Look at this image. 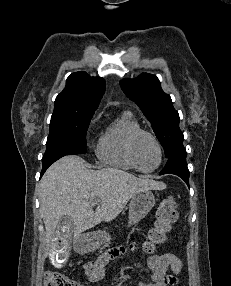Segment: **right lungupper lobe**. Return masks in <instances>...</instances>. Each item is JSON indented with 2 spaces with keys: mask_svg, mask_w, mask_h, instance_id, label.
I'll return each instance as SVG.
<instances>
[{
  "mask_svg": "<svg viewBox=\"0 0 231 286\" xmlns=\"http://www.w3.org/2000/svg\"><path fill=\"white\" fill-rule=\"evenodd\" d=\"M105 91L103 78L86 72L71 74L65 89L55 99V112H94Z\"/></svg>",
  "mask_w": 231,
  "mask_h": 286,
  "instance_id": "1",
  "label": "right lung upper lobe"
}]
</instances>
